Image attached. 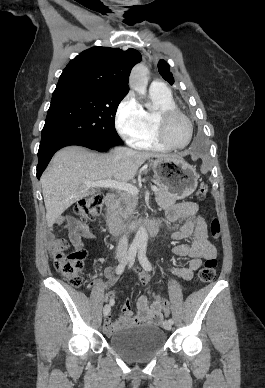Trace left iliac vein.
<instances>
[{
  "mask_svg": "<svg viewBox=\"0 0 265 388\" xmlns=\"http://www.w3.org/2000/svg\"><path fill=\"white\" fill-rule=\"evenodd\" d=\"M163 327H164L166 330L170 331V330L172 329V324H171L169 321H164Z\"/></svg>",
  "mask_w": 265,
  "mask_h": 388,
  "instance_id": "left-iliac-vein-1",
  "label": "left iliac vein"
}]
</instances>
